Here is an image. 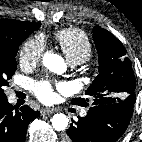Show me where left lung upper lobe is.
I'll list each match as a JSON object with an SVG mask.
<instances>
[{"label": "left lung upper lobe", "mask_w": 142, "mask_h": 142, "mask_svg": "<svg viewBox=\"0 0 142 142\" xmlns=\"http://www.w3.org/2000/svg\"><path fill=\"white\" fill-rule=\"evenodd\" d=\"M99 55V75L85 91L88 98H74L73 104L88 106L111 103H135V77L123 44L112 33L99 26L93 29Z\"/></svg>", "instance_id": "1"}]
</instances>
